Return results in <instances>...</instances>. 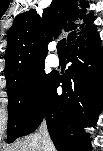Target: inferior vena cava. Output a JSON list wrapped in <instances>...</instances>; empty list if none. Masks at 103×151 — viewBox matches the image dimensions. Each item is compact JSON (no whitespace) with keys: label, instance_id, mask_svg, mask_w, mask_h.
<instances>
[{"label":"inferior vena cava","instance_id":"obj_1","mask_svg":"<svg viewBox=\"0 0 103 151\" xmlns=\"http://www.w3.org/2000/svg\"><path fill=\"white\" fill-rule=\"evenodd\" d=\"M40 136L42 137L43 151H47L48 145L52 144V142L47 131L46 123L44 122L42 123L40 128Z\"/></svg>","mask_w":103,"mask_h":151}]
</instances>
